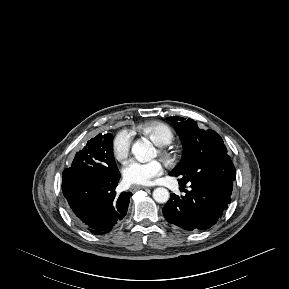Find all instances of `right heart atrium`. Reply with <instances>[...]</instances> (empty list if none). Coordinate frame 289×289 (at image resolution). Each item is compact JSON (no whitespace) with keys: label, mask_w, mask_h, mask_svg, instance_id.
<instances>
[{"label":"right heart atrium","mask_w":289,"mask_h":289,"mask_svg":"<svg viewBox=\"0 0 289 289\" xmlns=\"http://www.w3.org/2000/svg\"><path fill=\"white\" fill-rule=\"evenodd\" d=\"M133 137L127 130L119 131L113 138L112 151L115 158L124 161L130 153Z\"/></svg>","instance_id":"1"}]
</instances>
